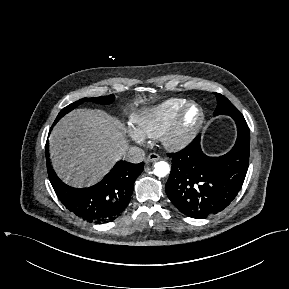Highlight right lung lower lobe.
Returning a JSON list of instances; mask_svg holds the SVG:
<instances>
[{
	"label": "right lung lower lobe",
	"instance_id": "98d812e1",
	"mask_svg": "<svg viewBox=\"0 0 289 289\" xmlns=\"http://www.w3.org/2000/svg\"><path fill=\"white\" fill-rule=\"evenodd\" d=\"M55 124V123H54ZM47 171L59 200L80 218L105 223L114 220L128 205L135 179L142 173L144 163L120 161L105 178L89 188H73L64 184L54 173L46 144Z\"/></svg>",
	"mask_w": 289,
	"mask_h": 289
}]
</instances>
